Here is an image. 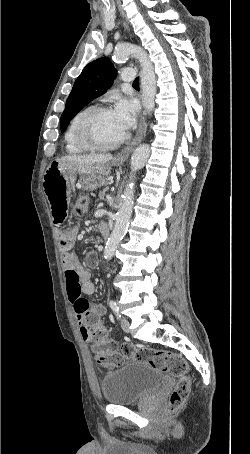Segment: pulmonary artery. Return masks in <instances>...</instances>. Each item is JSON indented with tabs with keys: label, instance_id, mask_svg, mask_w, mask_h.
I'll return each instance as SVG.
<instances>
[{
	"label": "pulmonary artery",
	"instance_id": "obj_1",
	"mask_svg": "<svg viewBox=\"0 0 250 454\" xmlns=\"http://www.w3.org/2000/svg\"><path fill=\"white\" fill-rule=\"evenodd\" d=\"M121 80L124 82H130L135 79V72L132 68H125L121 71Z\"/></svg>",
	"mask_w": 250,
	"mask_h": 454
}]
</instances>
